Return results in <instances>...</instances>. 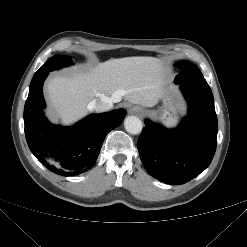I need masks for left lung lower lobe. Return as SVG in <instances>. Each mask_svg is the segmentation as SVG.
<instances>
[{
    "label": "left lung lower lobe",
    "mask_w": 247,
    "mask_h": 247,
    "mask_svg": "<svg viewBox=\"0 0 247 247\" xmlns=\"http://www.w3.org/2000/svg\"><path fill=\"white\" fill-rule=\"evenodd\" d=\"M188 115L173 130L145 120L138 139L140 158L148 173L161 182L184 184L211 163L217 144V116L207 82H182Z\"/></svg>",
    "instance_id": "1"
}]
</instances>
